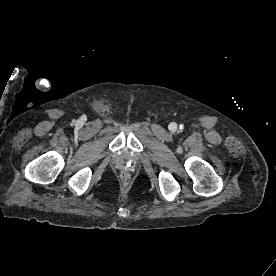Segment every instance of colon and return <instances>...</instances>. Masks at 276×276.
Instances as JSON below:
<instances>
[{"mask_svg": "<svg viewBox=\"0 0 276 276\" xmlns=\"http://www.w3.org/2000/svg\"><path fill=\"white\" fill-rule=\"evenodd\" d=\"M121 177H122V179L126 180L128 176L126 173H122Z\"/></svg>", "mask_w": 276, "mask_h": 276, "instance_id": "obj_1", "label": "colon"}]
</instances>
